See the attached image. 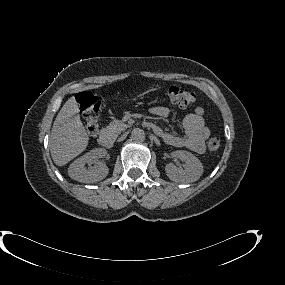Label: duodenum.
I'll return each mask as SVG.
<instances>
[{"label":"duodenum","mask_w":285,"mask_h":285,"mask_svg":"<svg viewBox=\"0 0 285 285\" xmlns=\"http://www.w3.org/2000/svg\"><path fill=\"white\" fill-rule=\"evenodd\" d=\"M147 125L149 127H152V125L150 123H148ZM99 143L101 146H103L105 148L112 147L113 140H112L111 134L109 132H102L99 135Z\"/></svg>","instance_id":"duodenum-1"}]
</instances>
